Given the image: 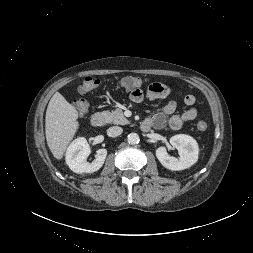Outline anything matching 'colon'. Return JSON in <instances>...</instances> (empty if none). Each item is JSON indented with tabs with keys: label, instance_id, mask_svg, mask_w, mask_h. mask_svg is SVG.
I'll return each mask as SVG.
<instances>
[{
	"label": "colon",
	"instance_id": "5ec220e1",
	"mask_svg": "<svg viewBox=\"0 0 253 253\" xmlns=\"http://www.w3.org/2000/svg\"><path fill=\"white\" fill-rule=\"evenodd\" d=\"M100 83L101 81L99 79L89 76L82 81L78 90L80 93L84 94L96 89L100 85ZM143 83L144 81L142 78L134 75H127L120 80V86L126 90L137 89L142 86ZM74 106L80 115L86 114L89 109V104L85 99L75 100ZM196 127L198 130L201 131L206 130L208 127L207 120L203 118L198 119L196 122Z\"/></svg>",
	"mask_w": 253,
	"mask_h": 253
}]
</instances>
